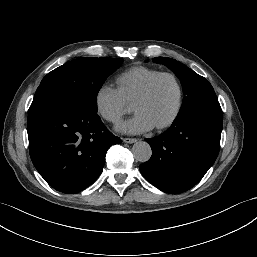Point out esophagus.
Returning a JSON list of instances; mask_svg holds the SVG:
<instances>
[{
    "mask_svg": "<svg viewBox=\"0 0 257 257\" xmlns=\"http://www.w3.org/2000/svg\"><path fill=\"white\" fill-rule=\"evenodd\" d=\"M123 142L132 144V143L137 142V139L136 138H123Z\"/></svg>",
    "mask_w": 257,
    "mask_h": 257,
    "instance_id": "esophagus-1",
    "label": "esophagus"
}]
</instances>
